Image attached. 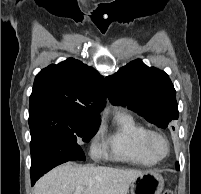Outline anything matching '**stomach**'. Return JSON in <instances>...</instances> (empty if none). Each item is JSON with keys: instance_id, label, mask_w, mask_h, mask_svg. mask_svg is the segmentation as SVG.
<instances>
[{"instance_id": "1", "label": "stomach", "mask_w": 201, "mask_h": 194, "mask_svg": "<svg viewBox=\"0 0 201 194\" xmlns=\"http://www.w3.org/2000/svg\"><path fill=\"white\" fill-rule=\"evenodd\" d=\"M164 180L154 172H144L131 183V194H161Z\"/></svg>"}]
</instances>
